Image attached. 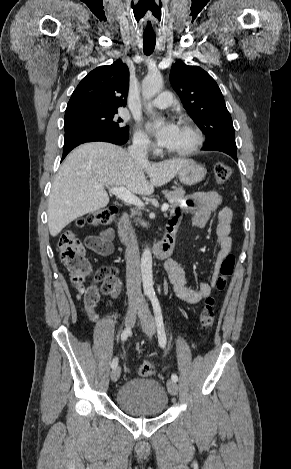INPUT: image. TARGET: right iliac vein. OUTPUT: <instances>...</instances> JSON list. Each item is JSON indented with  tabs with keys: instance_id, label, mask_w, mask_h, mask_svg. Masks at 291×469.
Instances as JSON below:
<instances>
[{
	"instance_id": "obj_1",
	"label": "right iliac vein",
	"mask_w": 291,
	"mask_h": 469,
	"mask_svg": "<svg viewBox=\"0 0 291 469\" xmlns=\"http://www.w3.org/2000/svg\"><path fill=\"white\" fill-rule=\"evenodd\" d=\"M140 312V308L137 307V306H131L128 311H127V314H126V317H125V325H126V328H131L135 321H136V316H137V313ZM120 374H121V369L120 367H116L114 368L112 371H111V379L113 382H116L119 377H120Z\"/></svg>"
}]
</instances>
